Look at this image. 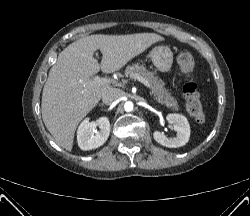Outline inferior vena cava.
<instances>
[{
  "mask_svg": "<svg viewBox=\"0 0 250 216\" xmlns=\"http://www.w3.org/2000/svg\"><path fill=\"white\" fill-rule=\"evenodd\" d=\"M123 96V91L117 88H109L102 94V101L111 104Z\"/></svg>",
  "mask_w": 250,
  "mask_h": 216,
  "instance_id": "inferior-vena-cava-1",
  "label": "inferior vena cava"
}]
</instances>
